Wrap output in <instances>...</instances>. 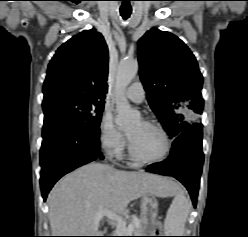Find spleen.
Returning a JSON list of instances; mask_svg holds the SVG:
<instances>
[{"label":"spleen","instance_id":"obj_1","mask_svg":"<svg viewBox=\"0 0 248 237\" xmlns=\"http://www.w3.org/2000/svg\"><path fill=\"white\" fill-rule=\"evenodd\" d=\"M167 211L164 222L166 236H182L189 214L190 204L183 192L177 191Z\"/></svg>","mask_w":248,"mask_h":237}]
</instances>
